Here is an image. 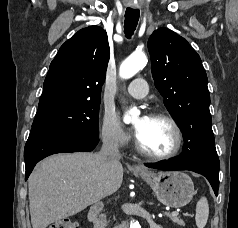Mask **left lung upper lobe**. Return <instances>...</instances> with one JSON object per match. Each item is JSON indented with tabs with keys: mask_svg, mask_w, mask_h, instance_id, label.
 Instances as JSON below:
<instances>
[{
	"mask_svg": "<svg viewBox=\"0 0 238 228\" xmlns=\"http://www.w3.org/2000/svg\"><path fill=\"white\" fill-rule=\"evenodd\" d=\"M148 50L155 86L184 138L178 160L185 164L217 157L208 80L199 55L183 37L167 28L152 33Z\"/></svg>",
	"mask_w": 238,
	"mask_h": 228,
	"instance_id": "5c2ea615",
	"label": "left lung upper lobe"
}]
</instances>
